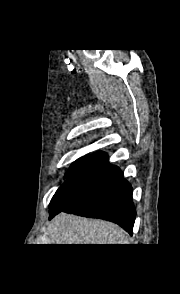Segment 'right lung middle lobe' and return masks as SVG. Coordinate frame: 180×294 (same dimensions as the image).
<instances>
[{
	"instance_id": "obj_1",
	"label": "right lung middle lobe",
	"mask_w": 180,
	"mask_h": 294,
	"mask_svg": "<svg viewBox=\"0 0 180 294\" xmlns=\"http://www.w3.org/2000/svg\"><path fill=\"white\" fill-rule=\"evenodd\" d=\"M93 155V154H92ZM92 155H86L80 159H78L77 161H75L69 171L67 172L66 176H68L67 181L61 185V187L56 191L55 195L53 196L50 204L54 201V199L64 190L66 189L72 182L73 180L76 178V176L78 175V173L81 171V169L83 168V166L86 164V162L91 158Z\"/></svg>"
}]
</instances>
